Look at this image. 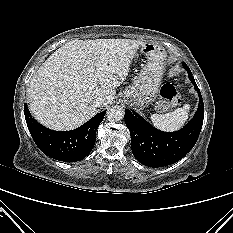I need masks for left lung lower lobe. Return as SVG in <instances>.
<instances>
[{
  "mask_svg": "<svg viewBox=\"0 0 233 233\" xmlns=\"http://www.w3.org/2000/svg\"><path fill=\"white\" fill-rule=\"evenodd\" d=\"M183 67L188 68L186 63H183ZM188 74L198 93L199 104L194 117L182 129L163 132L135 111L125 110V123L131 134L132 153L143 165L163 167L176 163L194 147L199 137L204 118V104L192 73Z\"/></svg>",
  "mask_w": 233,
  "mask_h": 233,
  "instance_id": "obj_1",
  "label": "left lung lower lobe"
}]
</instances>
